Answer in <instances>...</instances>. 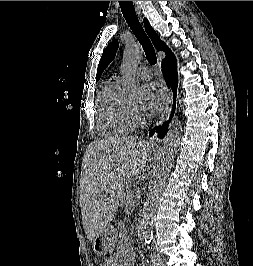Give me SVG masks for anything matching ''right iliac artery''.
<instances>
[{
  "mask_svg": "<svg viewBox=\"0 0 253 266\" xmlns=\"http://www.w3.org/2000/svg\"><path fill=\"white\" fill-rule=\"evenodd\" d=\"M151 266H159L157 259L151 255Z\"/></svg>",
  "mask_w": 253,
  "mask_h": 266,
  "instance_id": "right-iliac-artery-1",
  "label": "right iliac artery"
}]
</instances>
